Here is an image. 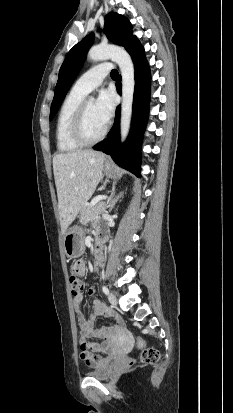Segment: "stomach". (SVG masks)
<instances>
[{
	"mask_svg": "<svg viewBox=\"0 0 233 413\" xmlns=\"http://www.w3.org/2000/svg\"><path fill=\"white\" fill-rule=\"evenodd\" d=\"M103 171L107 176H113L114 169L110 163H105ZM84 231L79 226L69 228L64 234L63 244L65 254L70 258L81 256L84 252L83 246Z\"/></svg>",
	"mask_w": 233,
	"mask_h": 413,
	"instance_id": "0dacf381",
	"label": "stomach"
}]
</instances>
